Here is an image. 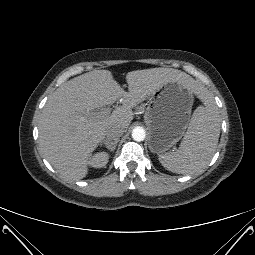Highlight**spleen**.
Listing matches in <instances>:
<instances>
[{
	"label": "spleen",
	"mask_w": 255,
	"mask_h": 255,
	"mask_svg": "<svg viewBox=\"0 0 255 255\" xmlns=\"http://www.w3.org/2000/svg\"><path fill=\"white\" fill-rule=\"evenodd\" d=\"M202 99L204 105L193 112L178 150L159 155L162 166L171 172L192 174L202 170L216 151L220 135L218 107L205 93Z\"/></svg>",
	"instance_id": "1"
}]
</instances>
